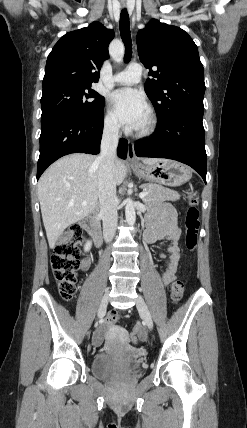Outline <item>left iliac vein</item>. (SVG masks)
<instances>
[{"label":"left iliac vein","instance_id":"4c4485c4","mask_svg":"<svg viewBox=\"0 0 247 428\" xmlns=\"http://www.w3.org/2000/svg\"><path fill=\"white\" fill-rule=\"evenodd\" d=\"M136 307H137L139 313L141 314V316L143 317V320H144L145 324L147 325V327L149 329H152L153 328L152 316L150 314V311H149L144 299L141 296H138V298L136 300Z\"/></svg>","mask_w":247,"mask_h":428}]
</instances>
